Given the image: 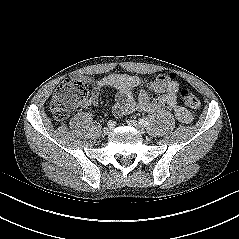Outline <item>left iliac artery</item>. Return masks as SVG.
<instances>
[{
    "label": "left iliac artery",
    "mask_w": 239,
    "mask_h": 239,
    "mask_svg": "<svg viewBox=\"0 0 239 239\" xmlns=\"http://www.w3.org/2000/svg\"><path fill=\"white\" fill-rule=\"evenodd\" d=\"M139 123H140L141 125H143V126L149 125V121H148V119H146V118H141V119H139Z\"/></svg>",
    "instance_id": "1"
}]
</instances>
